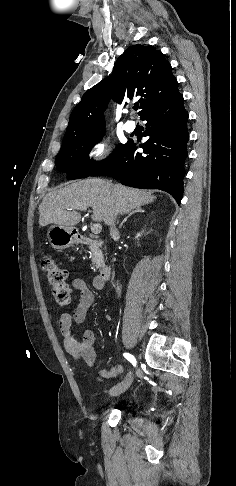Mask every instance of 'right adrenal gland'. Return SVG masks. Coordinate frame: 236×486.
I'll return each mask as SVG.
<instances>
[{
    "label": "right adrenal gland",
    "mask_w": 236,
    "mask_h": 486,
    "mask_svg": "<svg viewBox=\"0 0 236 486\" xmlns=\"http://www.w3.org/2000/svg\"><path fill=\"white\" fill-rule=\"evenodd\" d=\"M143 212H144V210H143V209H141V208H136V209H134V210H133V211H131V212H130V213H129V214L126 216V217H125V219H124V220H123V221L120 223L119 228H121V227L123 226V224H124V223L127 221V219H128L129 217H131L133 214H135V213H143Z\"/></svg>",
    "instance_id": "obj_1"
}]
</instances>
